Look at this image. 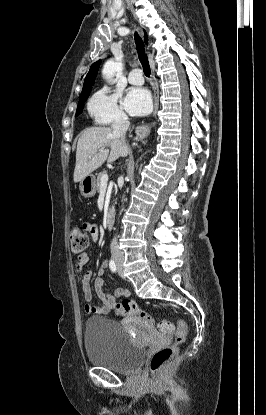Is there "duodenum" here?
<instances>
[{
	"mask_svg": "<svg viewBox=\"0 0 266 415\" xmlns=\"http://www.w3.org/2000/svg\"><path fill=\"white\" fill-rule=\"evenodd\" d=\"M114 217H115V211L113 208H110L105 217V224L107 228H112L114 224Z\"/></svg>",
	"mask_w": 266,
	"mask_h": 415,
	"instance_id": "1",
	"label": "duodenum"
}]
</instances>
